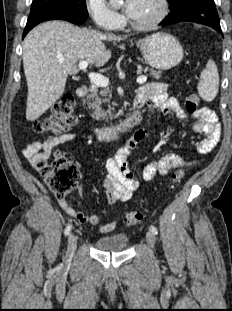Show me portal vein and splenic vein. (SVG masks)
I'll return each instance as SVG.
<instances>
[{
  "label": "portal vein and splenic vein",
  "instance_id": "portal-vein-and-splenic-vein-1",
  "mask_svg": "<svg viewBox=\"0 0 232 311\" xmlns=\"http://www.w3.org/2000/svg\"><path fill=\"white\" fill-rule=\"evenodd\" d=\"M64 59H59L60 63H63ZM79 69L84 70L88 67V62L82 60L78 64ZM89 78L91 82L99 87H107L109 85V79L97 73H89ZM138 84H144L147 81V77L142 75L137 78Z\"/></svg>",
  "mask_w": 232,
  "mask_h": 311
}]
</instances>
